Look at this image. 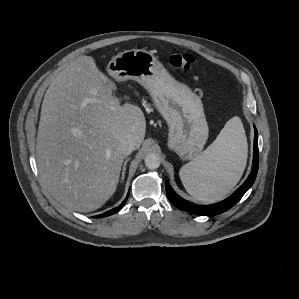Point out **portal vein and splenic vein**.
<instances>
[{
  "mask_svg": "<svg viewBox=\"0 0 299 299\" xmlns=\"http://www.w3.org/2000/svg\"><path fill=\"white\" fill-rule=\"evenodd\" d=\"M86 101L89 102V101H92V100H89V99H88V100H86Z\"/></svg>",
  "mask_w": 299,
  "mask_h": 299,
  "instance_id": "obj_1",
  "label": "portal vein and splenic vein"
}]
</instances>
